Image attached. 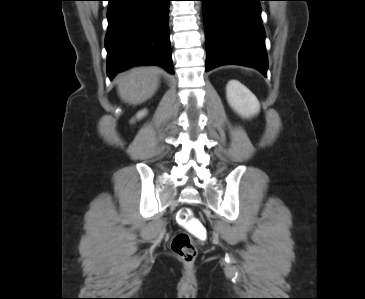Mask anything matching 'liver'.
I'll use <instances>...</instances> for the list:
<instances>
[{
    "instance_id": "liver-1",
    "label": "liver",
    "mask_w": 365,
    "mask_h": 299,
    "mask_svg": "<svg viewBox=\"0 0 365 299\" xmlns=\"http://www.w3.org/2000/svg\"><path fill=\"white\" fill-rule=\"evenodd\" d=\"M156 68H134L120 75L118 92L122 100L137 105L151 98L158 88Z\"/></svg>"
}]
</instances>
